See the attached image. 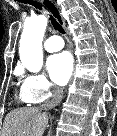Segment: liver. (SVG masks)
I'll return each mask as SVG.
<instances>
[{"mask_svg":"<svg viewBox=\"0 0 117 136\" xmlns=\"http://www.w3.org/2000/svg\"><path fill=\"white\" fill-rule=\"evenodd\" d=\"M48 115L39 107L15 109L7 114L1 136H42Z\"/></svg>","mask_w":117,"mask_h":136,"instance_id":"6515ba94","label":"liver"}]
</instances>
